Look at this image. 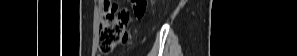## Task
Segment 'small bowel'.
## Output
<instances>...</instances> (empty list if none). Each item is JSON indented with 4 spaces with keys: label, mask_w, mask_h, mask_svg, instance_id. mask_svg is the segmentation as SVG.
<instances>
[{
    "label": "small bowel",
    "mask_w": 297,
    "mask_h": 56,
    "mask_svg": "<svg viewBox=\"0 0 297 56\" xmlns=\"http://www.w3.org/2000/svg\"><path fill=\"white\" fill-rule=\"evenodd\" d=\"M128 38H131V33H121V36H119V45H128Z\"/></svg>",
    "instance_id": "c3829d8e"
}]
</instances>
